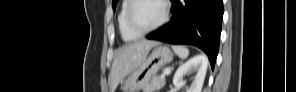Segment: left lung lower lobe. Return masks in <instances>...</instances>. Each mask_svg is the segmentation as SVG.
Segmentation results:
<instances>
[{"instance_id": "left-lung-lower-lobe-1", "label": "left lung lower lobe", "mask_w": 296, "mask_h": 92, "mask_svg": "<svg viewBox=\"0 0 296 92\" xmlns=\"http://www.w3.org/2000/svg\"><path fill=\"white\" fill-rule=\"evenodd\" d=\"M169 23L147 35L171 44H190L202 49L214 68L223 17L222 0H171Z\"/></svg>"}]
</instances>
